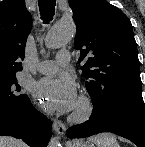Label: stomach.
Here are the masks:
<instances>
[{"mask_svg": "<svg viewBox=\"0 0 145 147\" xmlns=\"http://www.w3.org/2000/svg\"><path fill=\"white\" fill-rule=\"evenodd\" d=\"M78 147H93V144L89 142H83Z\"/></svg>", "mask_w": 145, "mask_h": 147, "instance_id": "obj_1", "label": "stomach"}]
</instances>
